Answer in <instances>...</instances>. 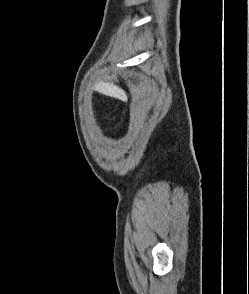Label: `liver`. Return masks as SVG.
<instances>
[{
    "mask_svg": "<svg viewBox=\"0 0 249 294\" xmlns=\"http://www.w3.org/2000/svg\"><path fill=\"white\" fill-rule=\"evenodd\" d=\"M97 89L105 95L119 98V99H123V100L127 99V95H126L125 91L123 89L117 87L116 85L100 82L97 85Z\"/></svg>",
    "mask_w": 249,
    "mask_h": 294,
    "instance_id": "1",
    "label": "liver"
}]
</instances>
